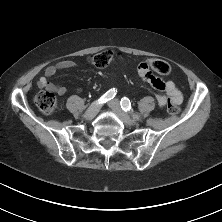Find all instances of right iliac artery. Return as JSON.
<instances>
[{
    "label": "right iliac artery",
    "mask_w": 222,
    "mask_h": 222,
    "mask_svg": "<svg viewBox=\"0 0 222 222\" xmlns=\"http://www.w3.org/2000/svg\"><path fill=\"white\" fill-rule=\"evenodd\" d=\"M117 90H115V88L108 90L105 94H103L100 99L98 100V103L103 104L106 103L108 101H110L111 99H113L116 95Z\"/></svg>",
    "instance_id": "obj_1"
}]
</instances>
